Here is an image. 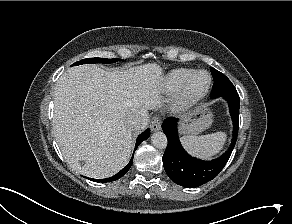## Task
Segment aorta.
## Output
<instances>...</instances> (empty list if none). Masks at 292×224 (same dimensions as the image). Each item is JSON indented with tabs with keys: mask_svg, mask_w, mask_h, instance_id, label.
I'll use <instances>...</instances> for the list:
<instances>
[{
	"mask_svg": "<svg viewBox=\"0 0 292 224\" xmlns=\"http://www.w3.org/2000/svg\"><path fill=\"white\" fill-rule=\"evenodd\" d=\"M152 144L159 149H164L167 146V137L163 132H155L151 136Z\"/></svg>",
	"mask_w": 292,
	"mask_h": 224,
	"instance_id": "1",
	"label": "aorta"
}]
</instances>
